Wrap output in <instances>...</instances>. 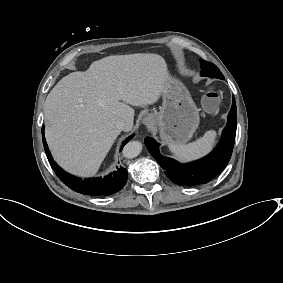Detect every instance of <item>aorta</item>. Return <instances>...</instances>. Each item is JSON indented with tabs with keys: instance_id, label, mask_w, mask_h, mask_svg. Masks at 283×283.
<instances>
[{
	"instance_id": "aorta-1",
	"label": "aorta",
	"mask_w": 283,
	"mask_h": 283,
	"mask_svg": "<svg viewBox=\"0 0 283 283\" xmlns=\"http://www.w3.org/2000/svg\"><path fill=\"white\" fill-rule=\"evenodd\" d=\"M142 150V144L139 141H131L127 143L123 149V156L131 159L137 157Z\"/></svg>"
}]
</instances>
